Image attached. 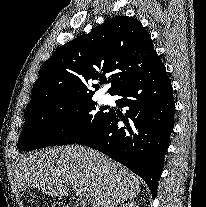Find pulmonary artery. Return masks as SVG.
<instances>
[{
    "label": "pulmonary artery",
    "instance_id": "1",
    "mask_svg": "<svg viewBox=\"0 0 206 207\" xmlns=\"http://www.w3.org/2000/svg\"><path fill=\"white\" fill-rule=\"evenodd\" d=\"M110 100H111V97L108 94H104V95L101 96V101L103 103H108V102H110Z\"/></svg>",
    "mask_w": 206,
    "mask_h": 207
}]
</instances>
